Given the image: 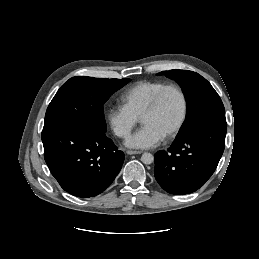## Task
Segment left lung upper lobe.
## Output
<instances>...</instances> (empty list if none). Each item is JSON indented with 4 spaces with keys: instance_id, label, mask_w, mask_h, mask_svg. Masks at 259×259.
I'll list each match as a JSON object with an SVG mask.
<instances>
[{
    "instance_id": "obj_1",
    "label": "left lung upper lobe",
    "mask_w": 259,
    "mask_h": 259,
    "mask_svg": "<svg viewBox=\"0 0 259 259\" xmlns=\"http://www.w3.org/2000/svg\"><path fill=\"white\" fill-rule=\"evenodd\" d=\"M175 80L183 89L187 101V116L176 139L194 129L210 124L227 126L223 103L211 84L198 73L189 70L160 72Z\"/></svg>"
}]
</instances>
